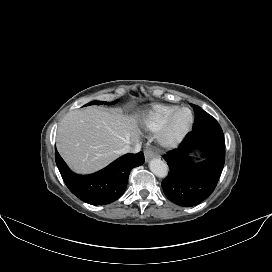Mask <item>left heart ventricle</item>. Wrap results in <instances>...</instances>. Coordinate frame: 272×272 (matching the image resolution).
Returning <instances> with one entry per match:
<instances>
[{
	"label": "left heart ventricle",
	"instance_id": "obj_1",
	"mask_svg": "<svg viewBox=\"0 0 272 272\" xmlns=\"http://www.w3.org/2000/svg\"><path fill=\"white\" fill-rule=\"evenodd\" d=\"M189 119V113L187 111L180 112L173 122V130L179 131L182 129Z\"/></svg>",
	"mask_w": 272,
	"mask_h": 272
}]
</instances>
